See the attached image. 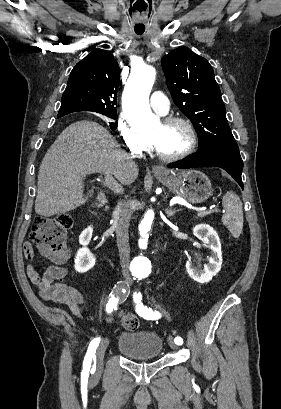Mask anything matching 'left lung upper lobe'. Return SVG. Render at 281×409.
Masks as SVG:
<instances>
[{
    "instance_id": "5c2ea615",
    "label": "left lung upper lobe",
    "mask_w": 281,
    "mask_h": 409,
    "mask_svg": "<svg viewBox=\"0 0 281 409\" xmlns=\"http://www.w3.org/2000/svg\"><path fill=\"white\" fill-rule=\"evenodd\" d=\"M161 64L175 104L195 127L199 149L239 150L209 62L189 48L179 47L165 55Z\"/></svg>"
}]
</instances>
